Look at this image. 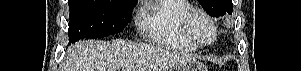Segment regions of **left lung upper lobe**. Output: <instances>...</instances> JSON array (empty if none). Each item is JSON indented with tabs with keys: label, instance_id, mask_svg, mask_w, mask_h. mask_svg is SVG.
<instances>
[{
	"label": "left lung upper lobe",
	"instance_id": "left-lung-upper-lobe-1",
	"mask_svg": "<svg viewBox=\"0 0 301 71\" xmlns=\"http://www.w3.org/2000/svg\"><path fill=\"white\" fill-rule=\"evenodd\" d=\"M198 2L210 16L219 17L225 13L232 14V0H198Z\"/></svg>",
	"mask_w": 301,
	"mask_h": 71
}]
</instances>
